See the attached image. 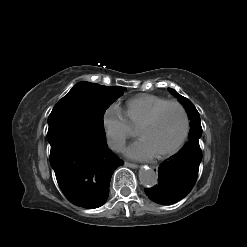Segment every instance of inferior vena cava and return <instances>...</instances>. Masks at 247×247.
<instances>
[{"mask_svg":"<svg viewBox=\"0 0 247 247\" xmlns=\"http://www.w3.org/2000/svg\"><path fill=\"white\" fill-rule=\"evenodd\" d=\"M109 147L115 151H123L124 149V142L123 141H119V140H111L108 142Z\"/></svg>","mask_w":247,"mask_h":247,"instance_id":"inferior-vena-cava-1","label":"inferior vena cava"}]
</instances>
